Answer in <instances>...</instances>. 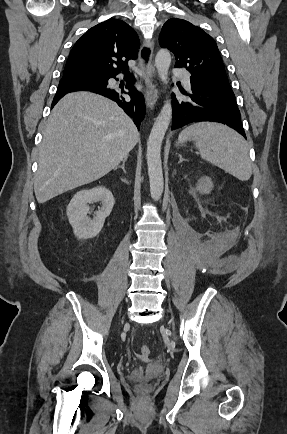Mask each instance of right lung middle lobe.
<instances>
[{"label":"right lung middle lobe","mask_w":287,"mask_h":434,"mask_svg":"<svg viewBox=\"0 0 287 434\" xmlns=\"http://www.w3.org/2000/svg\"><path fill=\"white\" fill-rule=\"evenodd\" d=\"M62 78L72 80V81H84V82H93V83H103L108 77L96 75V74H68L64 75Z\"/></svg>","instance_id":"obj_1"}]
</instances>
